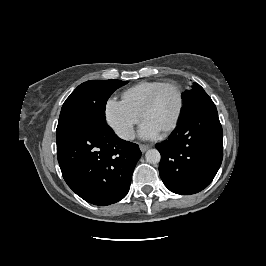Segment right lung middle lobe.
<instances>
[{
  "label": "right lung middle lobe",
  "mask_w": 266,
  "mask_h": 266,
  "mask_svg": "<svg viewBox=\"0 0 266 266\" xmlns=\"http://www.w3.org/2000/svg\"><path fill=\"white\" fill-rule=\"evenodd\" d=\"M127 82L91 80L80 84L64 102L57 126V145L73 134L97 123H106L108 98Z\"/></svg>",
  "instance_id": "obj_1"
}]
</instances>
